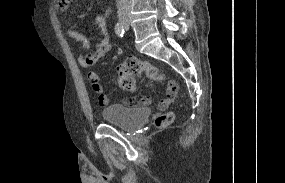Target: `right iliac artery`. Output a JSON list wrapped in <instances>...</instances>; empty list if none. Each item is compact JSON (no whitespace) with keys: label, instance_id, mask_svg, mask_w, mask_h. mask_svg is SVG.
Wrapping results in <instances>:
<instances>
[{"label":"right iliac artery","instance_id":"1","mask_svg":"<svg viewBox=\"0 0 285 183\" xmlns=\"http://www.w3.org/2000/svg\"><path fill=\"white\" fill-rule=\"evenodd\" d=\"M115 32L118 36L123 37L125 30H124V26L122 25V23H117L115 26Z\"/></svg>","mask_w":285,"mask_h":183}]
</instances>
